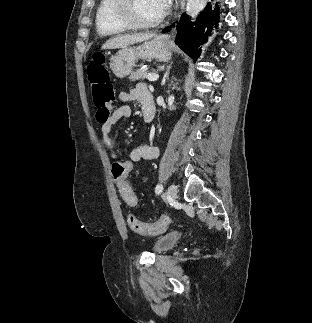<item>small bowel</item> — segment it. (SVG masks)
Listing matches in <instances>:
<instances>
[{
  "instance_id": "obj_1",
  "label": "small bowel",
  "mask_w": 312,
  "mask_h": 323,
  "mask_svg": "<svg viewBox=\"0 0 312 323\" xmlns=\"http://www.w3.org/2000/svg\"><path fill=\"white\" fill-rule=\"evenodd\" d=\"M149 91L144 83H139L129 91H121L119 93V100L123 103L137 101L142 103L145 93ZM133 110L128 105H122L115 109L107 121L102 125V139L101 142L104 147L109 151V157L115 161L117 159V153L114 150V141L110 137V132L115 124L120 121L128 120L131 118ZM159 156V149L152 145H138L134 147L130 152V158L133 163L142 160H155ZM114 164H127V163H114Z\"/></svg>"
}]
</instances>
